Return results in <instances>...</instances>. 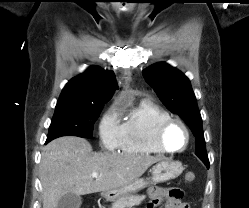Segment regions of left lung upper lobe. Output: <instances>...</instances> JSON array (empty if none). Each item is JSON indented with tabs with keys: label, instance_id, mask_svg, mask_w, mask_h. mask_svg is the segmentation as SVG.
Returning <instances> with one entry per match:
<instances>
[{
	"label": "left lung upper lobe",
	"instance_id": "1",
	"mask_svg": "<svg viewBox=\"0 0 249 208\" xmlns=\"http://www.w3.org/2000/svg\"><path fill=\"white\" fill-rule=\"evenodd\" d=\"M143 76L167 109L177 113L193 131L196 137L195 154L209 168L202 119L189 79L166 63L149 66L143 70Z\"/></svg>",
	"mask_w": 249,
	"mask_h": 208
}]
</instances>
